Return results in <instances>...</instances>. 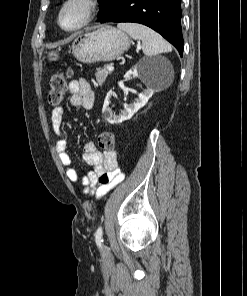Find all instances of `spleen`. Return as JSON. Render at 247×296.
<instances>
[{
    "label": "spleen",
    "instance_id": "1",
    "mask_svg": "<svg viewBox=\"0 0 247 296\" xmlns=\"http://www.w3.org/2000/svg\"><path fill=\"white\" fill-rule=\"evenodd\" d=\"M117 27L133 39L141 40L143 53L147 57L172 51L171 45L149 27L137 23H118Z\"/></svg>",
    "mask_w": 247,
    "mask_h": 296
}]
</instances>
